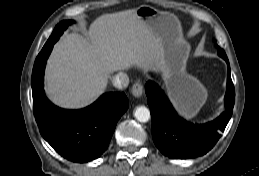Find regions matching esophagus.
<instances>
[{
	"instance_id": "esophagus-1",
	"label": "esophagus",
	"mask_w": 259,
	"mask_h": 176,
	"mask_svg": "<svg viewBox=\"0 0 259 176\" xmlns=\"http://www.w3.org/2000/svg\"><path fill=\"white\" fill-rule=\"evenodd\" d=\"M131 93L134 97L139 98L143 93V85L141 82H136L131 90Z\"/></svg>"
}]
</instances>
